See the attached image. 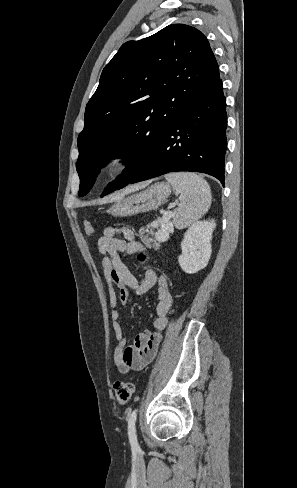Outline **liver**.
I'll return each mask as SVG.
<instances>
[{
  "label": "liver",
  "mask_w": 297,
  "mask_h": 488,
  "mask_svg": "<svg viewBox=\"0 0 297 488\" xmlns=\"http://www.w3.org/2000/svg\"><path fill=\"white\" fill-rule=\"evenodd\" d=\"M146 186V184H139V185H136V186H131L129 188H127L126 190H124L122 193L120 194H114V195H111L107 198V200H118V199H121L123 198L126 194L134 191V190H137L139 188H142Z\"/></svg>",
  "instance_id": "1"
}]
</instances>
